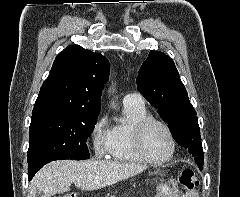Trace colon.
I'll list each match as a JSON object with an SVG mask.
<instances>
[{"instance_id":"1","label":"colon","mask_w":240,"mask_h":197,"mask_svg":"<svg viewBox=\"0 0 240 197\" xmlns=\"http://www.w3.org/2000/svg\"><path fill=\"white\" fill-rule=\"evenodd\" d=\"M179 183L183 186L186 191H191L195 186L198 185V178L193 170L185 169L179 175ZM172 190L171 185H162L159 187L161 195L165 196ZM62 197H77L75 193L65 194Z\"/></svg>"}]
</instances>
